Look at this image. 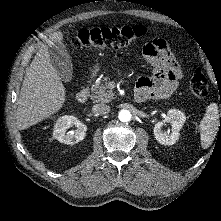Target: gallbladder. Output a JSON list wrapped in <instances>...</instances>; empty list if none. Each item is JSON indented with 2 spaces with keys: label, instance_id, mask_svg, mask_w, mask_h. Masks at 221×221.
<instances>
[{
  "label": "gallbladder",
  "instance_id": "bac80fb5",
  "mask_svg": "<svg viewBox=\"0 0 221 221\" xmlns=\"http://www.w3.org/2000/svg\"><path fill=\"white\" fill-rule=\"evenodd\" d=\"M51 64L57 71L61 80L70 82L72 80L71 57L64 44L58 43L48 48Z\"/></svg>",
  "mask_w": 221,
  "mask_h": 221
}]
</instances>
